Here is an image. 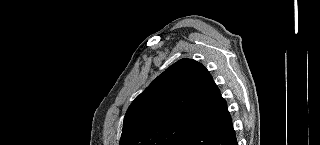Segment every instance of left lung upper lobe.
Wrapping results in <instances>:
<instances>
[{"instance_id":"1","label":"left lung upper lobe","mask_w":320,"mask_h":145,"mask_svg":"<svg viewBox=\"0 0 320 145\" xmlns=\"http://www.w3.org/2000/svg\"><path fill=\"white\" fill-rule=\"evenodd\" d=\"M212 81L192 59L171 65L128 108L120 145H179L211 112Z\"/></svg>"}]
</instances>
